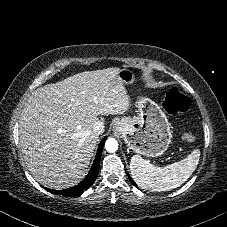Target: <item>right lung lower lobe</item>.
I'll list each match as a JSON object with an SVG mask.
<instances>
[{
  "mask_svg": "<svg viewBox=\"0 0 227 227\" xmlns=\"http://www.w3.org/2000/svg\"><path fill=\"white\" fill-rule=\"evenodd\" d=\"M107 137H104L102 141L100 142L97 150V154L95 156L93 165L88 173V175L84 178V180L79 183L78 185L64 189V190H51L49 188H45L51 193L58 194V195H66V196H73V195H79L84 192L85 189L89 188L95 181L98 170H99V162H100V157L102 154L103 146L105 143Z\"/></svg>",
  "mask_w": 227,
  "mask_h": 227,
  "instance_id": "1",
  "label": "right lung lower lobe"
}]
</instances>
